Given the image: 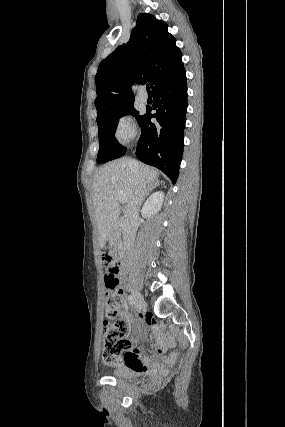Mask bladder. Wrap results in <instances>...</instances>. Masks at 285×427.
I'll return each mask as SVG.
<instances>
[{"label":"bladder","instance_id":"1","mask_svg":"<svg viewBox=\"0 0 285 427\" xmlns=\"http://www.w3.org/2000/svg\"><path fill=\"white\" fill-rule=\"evenodd\" d=\"M146 372L133 367H119L113 371V377L121 380H139Z\"/></svg>","mask_w":285,"mask_h":427}]
</instances>
